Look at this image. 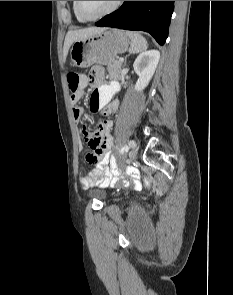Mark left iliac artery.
Segmentation results:
<instances>
[{
  "label": "left iliac artery",
  "mask_w": 233,
  "mask_h": 295,
  "mask_svg": "<svg viewBox=\"0 0 233 295\" xmlns=\"http://www.w3.org/2000/svg\"><path fill=\"white\" fill-rule=\"evenodd\" d=\"M128 143H129V147H133V148H134V147L136 146V145L134 144V141H133V140H130Z\"/></svg>",
  "instance_id": "1"
}]
</instances>
